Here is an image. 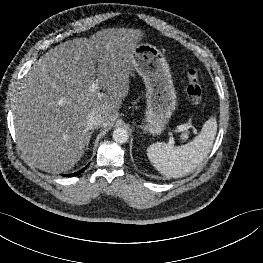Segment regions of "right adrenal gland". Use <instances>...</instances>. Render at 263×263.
<instances>
[{
	"label": "right adrenal gland",
	"instance_id": "obj_1",
	"mask_svg": "<svg viewBox=\"0 0 263 263\" xmlns=\"http://www.w3.org/2000/svg\"><path fill=\"white\" fill-rule=\"evenodd\" d=\"M91 136H92V132H89V141H90ZM89 141L87 143L86 150H88Z\"/></svg>",
	"mask_w": 263,
	"mask_h": 263
}]
</instances>
